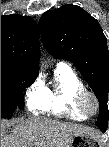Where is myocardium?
Here are the masks:
<instances>
[{
	"label": "myocardium",
	"mask_w": 109,
	"mask_h": 147,
	"mask_svg": "<svg viewBox=\"0 0 109 147\" xmlns=\"http://www.w3.org/2000/svg\"><path fill=\"white\" fill-rule=\"evenodd\" d=\"M88 97L93 98L95 101V110L93 112H89L85 106V100ZM75 105H76L77 109L86 116H93L96 113H98V111L100 109V101H99L97 95L93 91H90L87 89L82 90L77 95L76 100H75Z\"/></svg>",
	"instance_id": "myocardium-1"
}]
</instances>
